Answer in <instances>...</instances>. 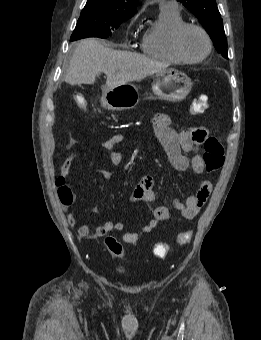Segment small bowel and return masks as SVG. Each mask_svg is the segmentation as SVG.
<instances>
[{
  "instance_id": "c3829d8e",
  "label": "small bowel",
  "mask_w": 261,
  "mask_h": 340,
  "mask_svg": "<svg viewBox=\"0 0 261 340\" xmlns=\"http://www.w3.org/2000/svg\"><path fill=\"white\" fill-rule=\"evenodd\" d=\"M154 135L167 153L172 167L177 171H184L191 168L194 174H201L204 171L205 165L201 157L198 147L201 145L209 134L206 127H193L183 131H176L172 128L171 118L166 114H159L153 118ZM123 134H116L107 138L101 147L108 153L110 163L118 166L122 162V155L115 151L117 144L124 140ZM79 156V151H73L63 162L61 166L62 176L70 175L72 163ZM98 172L106 180H110L112 173L105 169L99 168ZM154 179L151 175H144L140 179L138 185L133 191V201H143L149 205L153 204L156 199V194L153 189ZM212 191V184L209 181H202L196 192L189 196L185 202L178 199L173 201V208L178 210L183 218L187 220L194 219L204 204L206 203ZM154 218L150 220L143 228L142 233L152 232L160 223L166 222L171 218V210L166 206L153 208ZM68 223L74 226L77 223V216L74 213L69 214ZM125 224L122 222L106 221L102 225L95 227V232L98 236H103L112 231H123ZM80 238H85L90 234V227L87 224H82L77 230ZM139 239V234L135 232H126L122 235V240L125 243H135Z\"/></svg>"
}]
</instances>
